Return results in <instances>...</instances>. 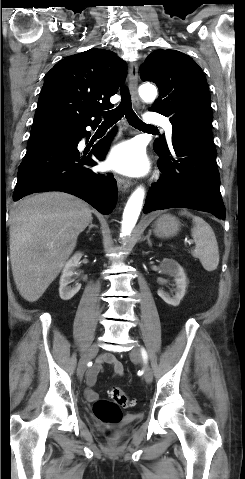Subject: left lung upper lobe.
Returning <instances> with one entry per match:
<instances>
[{
	"label": "left lung upper lobe",
	"mask_w": 245,
	"mask_h": 479,
	"mask_svg": "<svg viewBox=\"0 0 245 479\" xmlns=\"http://www.w3.org/2000/svg\"><path fill=\"white\" fill-rule=\"evenodd\" d=\"M140 72L143 81H153L159 88V97L149 110L169 117L172 133L211 135L208 85L191 57L176 50H155L140 66ZM154 147L166 148V140H155Z\"/></svg>",
	"instance_id": "left-lung-upper-lobe-1"
}]
</instances>
